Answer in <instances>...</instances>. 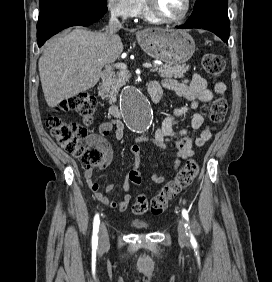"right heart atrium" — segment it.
<instances>
[{"mask_svg": "<svg viewBox=\"0 0 272 282\" xmlns=\"http://www.w3.org/2000/svg\"><path fill=\"white\" fill-rule=\"evenodd\" d=\"M107 6L113 16L127 19L141 9V0H107Z\"/></svg>", "mask_w": 272, "mask_h": 282, "instance_id": "obj_1", "label": "right heart atrium"}]
</instances>
